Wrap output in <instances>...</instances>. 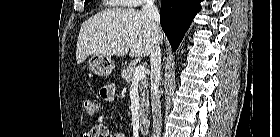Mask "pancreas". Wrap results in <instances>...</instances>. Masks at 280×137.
<instances>
[{
	"mask_svg": "<svg viewBox=\"0 0 280 137\" xmlns=\"http://www.w3.org/2000/svg\"><path fill=\"white\" fill-rule=\"evenodd\" d=\"M135 67L129 65L121 71V77L125 79L126 83L130 85L133 83V76L135 73ZM139 92H140V106L139 114L141 116V121L146 118V112L149 111V92H148V80L146 77L139 81Z\"/></svg>",
	"mask_w": 280,
	"mask_h": 137,
	"instance_id": "obj_1",
	"label": "pancreas"
}]
</instances>
